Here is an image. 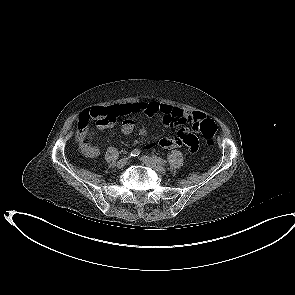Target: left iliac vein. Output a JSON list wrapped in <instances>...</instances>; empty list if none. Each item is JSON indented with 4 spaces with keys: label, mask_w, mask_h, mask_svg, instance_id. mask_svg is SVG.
<instances>
[{
    "label": "left iliac vein",
    "mask_w": 295,
    "mask_h": 295,
    "mask_svg": "<svg viewBox=\"0 0 295 295\" xmlns=\"http://www.w3.org/2000/svg\"><path fill=\"white\" fill-rule=\"evenodd\" d=\"M141 161L148 167L153 168L159 173L164 174L166 172V169L159 163H157L153 158L147 155H143L141 157Z\"/></svg>",
    "instance_id": "4c4485c4"
}]
</instances>
